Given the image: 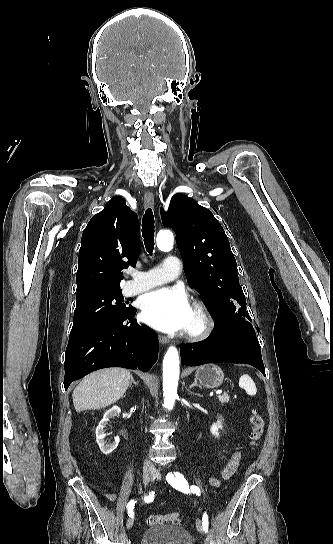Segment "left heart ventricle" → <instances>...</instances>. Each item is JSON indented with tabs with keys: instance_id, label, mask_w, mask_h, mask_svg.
<instances>
[{
	"instance_id": "1",
	"label": "left heart ventricle",
	"mask_w": 333,
	"mask_h": 544,
	"mask_svg": "<svg viewBox=\"0 0 333 544\" xmlns=\"http://www.w3.org/2000/svg\"><path fill=\"white\" fill-rule=\"evenodd\" d=\"M197 321H198L197 316H196V314H195V313L193 312V310H192V315H191V319H190L188 328L194 327V326L197 324Z\"/></svg>"
}]
</instances>
